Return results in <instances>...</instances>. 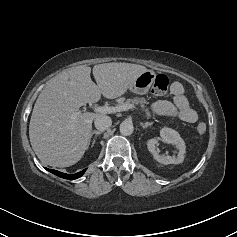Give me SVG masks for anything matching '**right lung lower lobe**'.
Here are the masks:
<instances>
[{
  "instance_id": "1",
  "label": "right lung lower lobe",
  "mask_w": 237,
  "mask_h": 237,
  "mask_svg": "<svg viewBox=\"0 0 237 237\" xmlns=\"http://www.w3.org/2000/svg\"><path fill=\"white\" fill-rule=\"evenodd\" d=\"M47 169V168H46ZM49 172L61 177V178H64V179H69V180H74V179H77L79 177H81L84 172L86 171L85 170H82L76 174H66V173H62V172H59V171H56V170H52V169H47Z\"/></svg>"
}]
</instances>
